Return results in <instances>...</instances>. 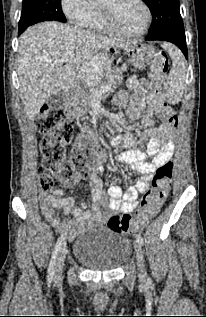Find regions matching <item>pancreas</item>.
<instances>
[{
  "mask_svg": "<svg viewBox=\"0 0 206 317\" xmlns=\"http://www.w3.org/2000/svg\"><path fill=\"white\" fill-rule=\"evenodd\" d=\"M121 68H112L111 72H104L100 77L99 83L94 85L82 86L78 90L71 103L73 107V113L77 116H84L90 109L91 103L94 99V93L97 92H114V89L121 85L124 73L127 67L122 64ZM108 86V87H107Z\"/></svg>",
  "mask_w": 206,
  "mask_h": 317,
  "instance_id": "obj_1",
  "label": "pancreas"
}]
</instances>
